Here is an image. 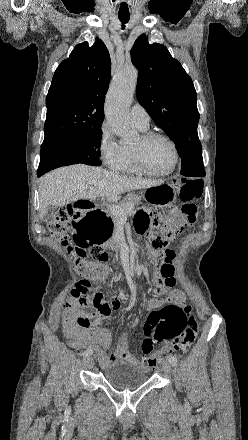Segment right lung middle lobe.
Returning <instances> with one entry per match:
<instances>
[{"mask_svg": "<svg viewBox=\"0 0 248 440\" xmlns=\"http://www.w3.org/2000/svg\"><path fill=\"white\" fill-rule=\"evenodd\" d=\"M101 127L84 132L53 138H44L40 151V164L37 174L77 163L99 166Z\"/></svg>", "mask_w": 248, "mask_h": 440, "instance_id": "obj_1", "label": "right lung middle lobe"}]
</instances>
